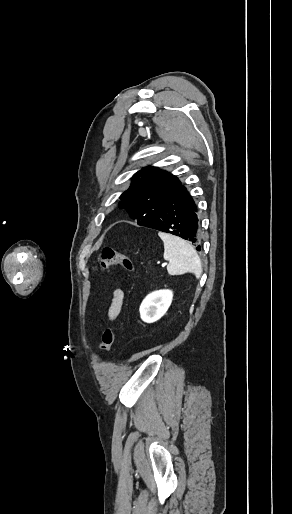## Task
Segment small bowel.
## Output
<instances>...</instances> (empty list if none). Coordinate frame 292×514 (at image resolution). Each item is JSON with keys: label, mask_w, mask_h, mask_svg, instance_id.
I'll use <instances>...</instances> for the list:
<instances>
[{"label": "small bowel", "mask_w": 292, "mask_h": 514, "mask_svg": "<svg viewBox=\"0 0 292 514\" xmlns=\"http://www.w3.org/2000/svg\"><path fill=\"white\" fill-rule=\"evenodd\" d=\"M124 302V293L121 289H114L112 292V300L107 311L109 321H115L120 315Z\"/></svg>", "instance_id": "obj_1"}]
</instances>
